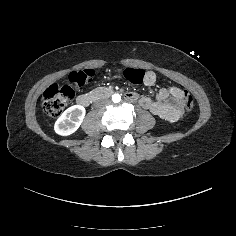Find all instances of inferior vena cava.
Listing matches in <instances>:
<instances>
[{
  "label": "inferior vena cava",
  "instance_id": "obj_1",
  "mask_svg": "<svg viewBox=\"0 0 236 236\" xmlns=\"http://www.w3.org/2000/svg\"><path fill=\"white\" fill-rule=\"evenodd\" d=\"M105 103H107L106 99H99L94 102V106L99 108V107L103 106Z\"/></svg>",
  "mask_w": 236,
  "mask_h": 236
}]
</instances>
